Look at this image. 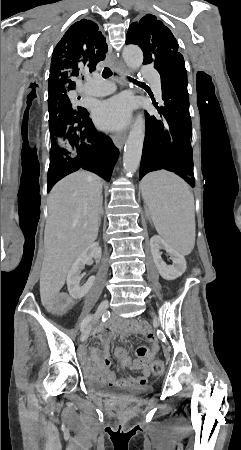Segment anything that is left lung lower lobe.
I'll return each instance as SVG.
<instances>
[{"instance_id": "1", "label": "left lung lower lobe", "mask_w": 241, "mask_h": 450, "mask_svg": "<svg viewBox=\"0 0 241 450\" xmlns=\"http://www.w3.org/2000/svg\"><path fill=\"white\" fill-rule=\"evenodd\" d=\"M158 72L164 100V106L158 111L163 114L165 121L157 120L145 111L146 134L139 179L148 172L167 169L194 186L190 145L192 128L185 64Z\"/></svg>"}]
</instances>
